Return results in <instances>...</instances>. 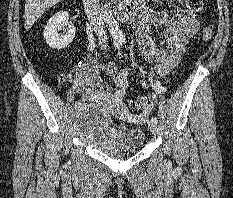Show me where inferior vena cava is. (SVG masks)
Listing matches in <instances>:
<instances>
[{"instance_id":"1","label":"inferior vena cava","mask_w":233,"mask_h":198,"mask_svg":"<svg viewBox=\"0 0 233 198\" xmlns=\"http://www.w3.org/2000/svg\"><path fill=\"white\" fill-rule=\"evenodd\" d=\"M83 2L86 15L90 20V24L93 26L94 32L99 39V45H101L102 48L106 49L108 37L103 23L104 15L102 8H100V0H83Z\"/></svg>"}]
</instances>
